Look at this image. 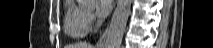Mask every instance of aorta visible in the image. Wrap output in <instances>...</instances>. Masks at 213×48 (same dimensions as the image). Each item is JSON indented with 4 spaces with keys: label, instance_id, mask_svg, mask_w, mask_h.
<instances>
[{
    "label": "aorta",
    "instance_id": "762f6f07",
    "mask_svg": "<svg viewBox=\"0 0 213 48\" xmlns=\"http://www.w3.org/2000/svg\"><path fill=\"white\" fill-rule=\"evenodd\" d=\"M79 2L95 3L97 0H78ZM132 0H118L117 6L106 32L105 48H120L128 17L131 12Z\"/></svg>",
    "mask_w": 213,
    "mask_h": 48
}]
</instances>
